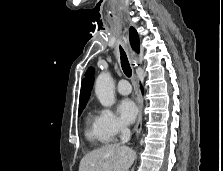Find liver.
Wrapping results in <instances>:
<instances>
[{"mask_svg": "<svg viewBox=\"0 0 223 171\" xmlns=\"http://www.w3.org/2000/svg\"><path fill=\"white\" fill-rule=\"evenodd\" d=\"M135 160V152L127 146L107 144L85 155L79 171H127Z\"/></svg>", "mask_w": 223, "mask_h": 171, "instance_id": "6515ba94", "label": "liver"}]
</instances>
